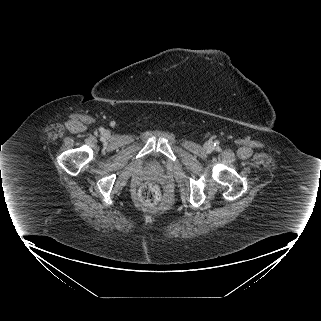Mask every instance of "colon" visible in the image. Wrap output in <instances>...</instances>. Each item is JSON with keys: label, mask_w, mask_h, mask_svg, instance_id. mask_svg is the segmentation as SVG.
<instances>
[{"label": "colon", "mask_w": 321, "mask_h": 321, "mask_svg": "<svg viewBox=\"0 0 321 321\" xmlns=\"http://www.w3.org/2000/svg\"><path fill=\"white\" fill-rule=\"evenodd\" d=\"M138 198L145 206L152 207L156 205L161 198L159 186L153 182L142 184L138 189Z\"/></svg>", "instance_id": "5ec220e1"}]
</instances>
